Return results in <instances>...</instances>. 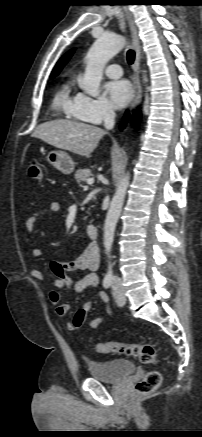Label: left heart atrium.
Instances as JSON below:
<instances>
[{"label":"left heart atrium","mask_w":202,"mask_h":437,"mask_svg":"<svg viewBox=\"0 0 202 437\" xmlns=\"http://www.w3.org/2000/svg\"><path fill=\"white\" fill-rule=\"evenodd\" d=\"M106 92L114 105L118 108L126 106L133 97L131 84L124 79L111 81L106 84Z\"/></svg>","instance_id":"obj_1"}]
</instances>
